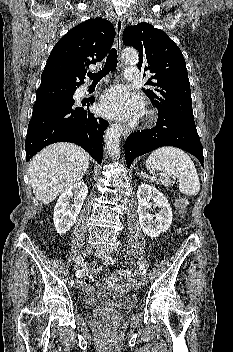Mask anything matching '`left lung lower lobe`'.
I'll list each match as a JSON object with an SVG mask.
<instances>
[{"label":"left lung lower lobe","mask_w":233,"mask_h":352,"mask_svg":"<svg viewBox=\"0 0 233 352\" xmlns=\"http://www.w3.org/2000/svg\"><path fill=\"white\" fill-rule=\"evenodd\" d=\"M162 146L181 148L194 155L204 167L203 148L194 120L159 112L155 127L132 132L126 139L125 159L128 168L137 156Z\"/></svg>","instance_id":"obj_1"}]
</instances>
